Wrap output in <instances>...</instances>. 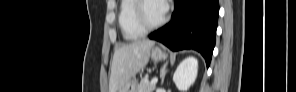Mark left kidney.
Returning <instances> with one entry per match:
<instances>
[{
	"mask_svg": "<svg viewBox=\"0 0 296 92\" xmlns=\"http://www.w3.org/2000/svg\"><path fill=\"white\" fill-rule=\"evenodd\" d=\"M197 73L198 60L193 56H189L178 65L173 75V81L180 91L185 92L195 82Z\"/></svg>",
	"mask_w": 296,
	"mask_h": 92,
	"instance_id": "obj_1",
	"label": "left kidney"
}]
</instances>
